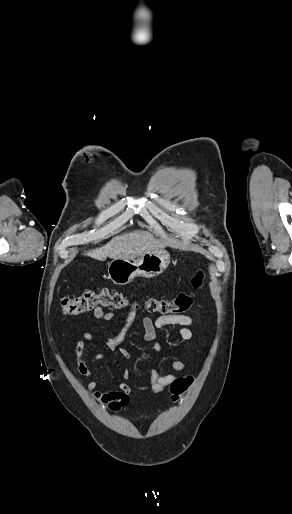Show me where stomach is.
Returning a JSON list of instances; mask_svg holds the SVG:
<instances>
[{"mask_svg": "<svg viewBox=\"0 0 292 514\" xmlns=\"http://www.w3.org/2000/svg\"><path fill=\"white\" fill-rule=\"evenodd\" d=\"M170 264V256L166 250H153L139 258H118L108 264V276L113 284L125 286L130 284L136 276L141 278H155L162 274Z\"/></svg>", "mask_w": 292, "mask_h": 514, "instance_id": "stomach-1", "label": "stomach"}]
</instances>
